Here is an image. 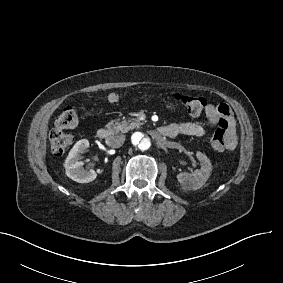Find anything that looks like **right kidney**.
I'll list each match as a JSON object with an SVG mask.
<instances>
[{
	"label": "right kidney",
	"mask_w": 283,
	"mask_h": 283,
	"mask_svg": "<svg viewBox=\"0 0 283 283\" xmlns=\"http://www.w3.org/2000/svg\"><path fill=\"white\" fill-rule=\"evenodd\" d=\"M90 143L87 139H81L70 149L68 157L65 160L64 167L69 178L79 183H88L93 181L97 174L93 169H83V162L78 161V156L86 151Z\"/></svg>",
	"instance_id": "ca27d5eb"
}]
</instances>
